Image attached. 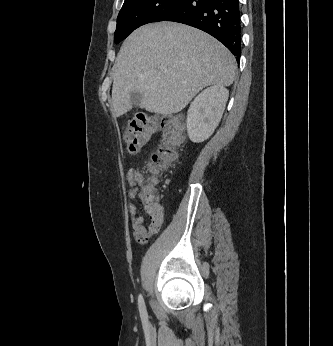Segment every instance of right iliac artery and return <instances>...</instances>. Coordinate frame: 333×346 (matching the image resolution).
Returning a JSON list of instances; mask_svg holds the SVG:
<instances>
[{"mask_svg": "<svg viewBox=\"0 0 333 346\" xmlns=\"http://www.w3.org/2000/svg\"><path fill=\"white\" fill-rule=\"evenodd\" d=\"M138 308H139V312H140V317H141V320H142V323H143V327L144 329H148V314H147V311H146V306H145V303H144V299L142 297V295H139L138 297Z\"/></svg>", "mask_w": 333, "mask_h": 346, "instance_id": "1", "label": "right iliac artery"}]
</instances>
